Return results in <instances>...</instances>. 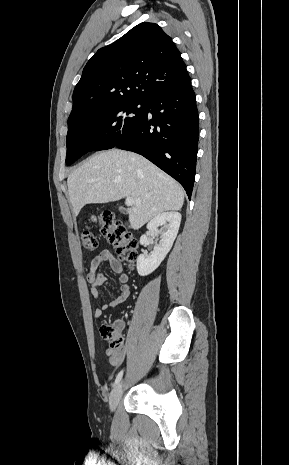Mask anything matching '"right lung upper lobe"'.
Returning <instances> with one entry per match:
<instances>
[{
  "mask_svg": "<svg viewBox=\"0 0 289 465\" xmlns=\"http://www.w3.org/2000/svg\"><path fill=\"white\" fill-rule=\"evenodd\" d=\"M190 82L171 37L155 23H140L113 44L99 49L88 61L73 92L68 129L80 120L87 105L117 100L146 101Z\"/></svg>",
  "mask_w": 289,
  "mask_h": 465,
  "instance_id": "1",
  "label": "right lung upper lobe"
}]
</instances>
